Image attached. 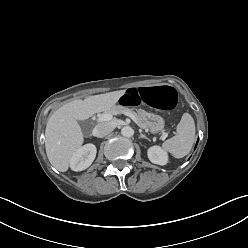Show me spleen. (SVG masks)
<instances>
[{
  "instance_id": "obj_1",
  "label": "spleen",
  "mask_w": 248,
  "mask_h": 248,
  "mask_svg": "<svg viewBox=\"0 0 248 248\" xmlns=\"http://www.w3.org/2000/svg\"><path fill=\"white\" fill-rule=\"evenodd\" d=\"M195 141V123L192 116L184 113L177 125L176 135L163 143V148L176 158H183Z\"/></svg>"
}]
</instances>
